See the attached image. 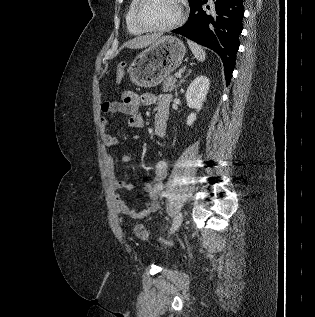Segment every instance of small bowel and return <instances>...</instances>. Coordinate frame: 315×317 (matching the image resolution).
Masks as SVG:
<instances>
[{
	"mask_svg": "<svg viewBox=\"0 0 315 317\" xmlns=\"http://www.w3.org/2000/svg\"><path fill=\"white\" fill-rule=\"evenodd\" d=\"M171 97L169 94L144 93L138 95L133 92H125L120 101H111L102 105L104 114L124 113L129 116L128 126L131 128H142L144 119L140 114L141 106L155 105L154 114V131L158 138L164 137L167 129L169 117V104ZM107 119L101 118V140L106 147L119 146L118 139L106 131ZM132 156L124 154L120 157L122 163H128ZM108 169L113 176L112 188L115 192V204L119 213L132 219H143L158 211L160 207L159 198L164 189V180L168 173V164L166 161L159 160L153 166L154 179L143 185L144 191L148 194L149 199L145 207L138 211L130 208L123 200L120 192L133 190L135 185L132 182L118 180L114 178V158L107 157Z\"/></svg>",
	"mask_w": 315,
	"mask_h": 317,
	"instance_id": "obj_1",
	"label": "small bowel"
}]
</instances>
